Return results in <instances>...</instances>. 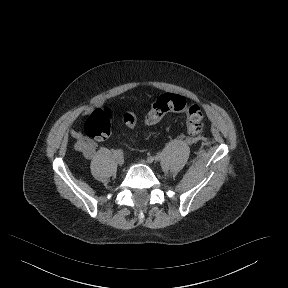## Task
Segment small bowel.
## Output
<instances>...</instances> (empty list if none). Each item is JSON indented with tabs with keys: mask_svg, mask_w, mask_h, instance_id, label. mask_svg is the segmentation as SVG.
<instances>
[{
	"mask_svg": "<svg viewBox=\"0 0 288 288\" xmlns=\"http://www.w3.org/2000/svg\"><path fill=\"white\" fill-rule=\"evenodd\" d=\"M82 152L85 158L91 159L95 154V145L92 142H89L87 148Z\"/></svg>",
	"mask_w": 288,
	"mask_h": 288,
	"instance_id": "c3829d8e",
	"label": "small bowel"
}]
</instances>
